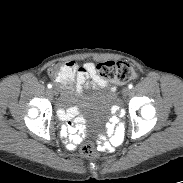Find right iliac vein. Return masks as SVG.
Masks as SVG:
<instances>
[{"label":"right iliac vein","instance_id":"63e3f726","mask_svg":"<svg viewBox=\"0 0 183 183\" xmlns=\"http://www.w3.org/2000/svg\"><path fill=\"white\" fill-rule=\"evenodd\" d=\"M51 92H52L54 95H57V94H58V91H57L56 88H52V89H51Z\"/></svg>","mask_w":183,"mask_h":183}]
</instances>
